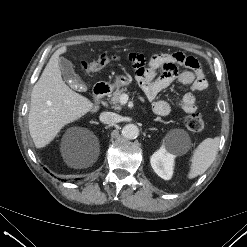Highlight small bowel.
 Instances as JSON below:
<instances>
[{
    "label": "small bowel",
    "instance_id": "obj_1",
    "mask_svg": "<svg viewBox=\"0 0 247 247\" xmlns=\"http://www.w3.org/2000/svg\"><path fill=\"white\" fill-rule=\"evenodd\" d=\"M128 59L133 64L136 79L141 89L153 103L155 114L159 116L170 114V104L165 100L157 99V96L175 80L190 87V92L183 95L179 100L181 108L186 112L196 110L194 93L205 90L208 85L196 58L175 52L155 54L149 58L147 64L140 54L132 53ZM178 67H185L186 70L179 72ZM158 72H161V75L156 77Z\"/></svg>",
    "mask_w": 247,
    "mask_h": 247
}]
</instances>
